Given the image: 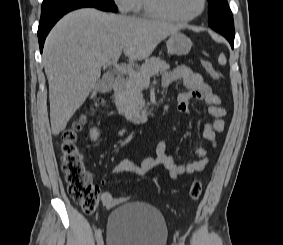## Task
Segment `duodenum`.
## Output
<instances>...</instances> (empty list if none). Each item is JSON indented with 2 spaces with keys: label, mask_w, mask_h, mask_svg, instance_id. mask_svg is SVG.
<instances>
[{
  "label": "duodenum",
  "mask_w": 283,
  "mask_h": 245,
  "mask_svg": "<svg viewBox=\"0 0 283 245\" xmlns=\"http://www.w3.org/2000/svg\"><path fill=\"white\" fill-rule=\"evenodd\" d=\"M125 78L123 76L116 77L113 85V96L112 101L115 105H117L119 97L124 89ZM149 114H141L139 116L134 117L131 121L135 124L145 123L149 119Z\"/></svg>",
  "instance_id": "obj_1"
}]
</instances>
